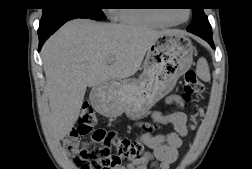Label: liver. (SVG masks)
I'll return each mask as SVG.
<instances>
[{
  "instance_id": "1",
  "label": "liver",
  "mask_w": 252,
  "mask_h": 169,
  "mask_svg": "<svg viewBox=\"0 0 252 169\" xmlns=\"http://www.w3.org/2000/svg\"><path fill=\"white\" fill-rule=\"evenodd\" d=\"M170 32L179 31L74 19L52 35L41 51L52 137L70 132L87 87L134 75L149 47Z\"/></svg>"
}]
</instances>
